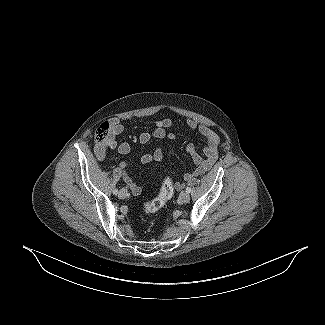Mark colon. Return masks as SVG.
<instances>
[{"label": "colon", "mask_w": 325, "mask_h": 325, "mask_svg": "<svg viewBox=\"0 0 325 325\" xmlns=\"http://www.w3.org/2000/svg\"><path fill=\"white\" fill-rule=\"evenodd\" d=\"M108 134V125L102 124L96 131L95 139L97 142L103 141ZM174 194V182L172 178L167 177L164 179L159 194L152 200L147 201L143 210L146 214H153L166 206L168 201Z\"/></svg>", "instance_id": "obj_1"}]
</instances>
